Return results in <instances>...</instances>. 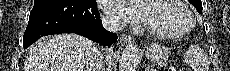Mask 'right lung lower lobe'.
I'll use <instances>...</instances> for the list:
<instances>
[{
	"label": "right lung lower lobe",
	"mask_w": 230,
	"mask_h": 71,
	"mask_svg": "<svg viewBox=\"0 0 230 71\" xmlns=\"http://www.w3.org/2000/svg\"><path fill=\"white\" fill-rule=\"evenodd\" d=\"M59 33H76L107 46L117 41V35L102 26L96 0H35L24 49L42 36Z\"/></svg>",
	"instance_id": "obj_1"
}]
</instances>
